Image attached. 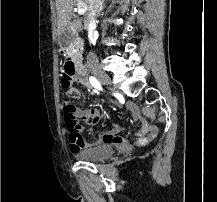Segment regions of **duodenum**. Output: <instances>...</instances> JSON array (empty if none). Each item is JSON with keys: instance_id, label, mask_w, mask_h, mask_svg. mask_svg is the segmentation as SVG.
<instances>
[{"instance_id": "1", "label": "duodenum", "mask_w": 217, "mask_h": 202, "mask_svg": "<svg viewBox=\"0 0 217 202\" xmlns=\"http://www.w3.org/2000/svg\"><path fill=\"white\" fill-rule=\"evenodd\" d=\"M80 43L77 42L73 49L63 47L61 53L65 56L64 70L66 74L75 81L90 87L88 75L85 67L83 66L78 52Z\"/></svg>"}]
</instances>
